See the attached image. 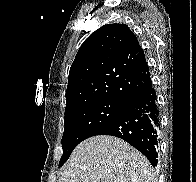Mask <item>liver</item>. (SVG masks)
<instances>
[{"mask_svg": "<svg viewBox=\"0 0 196 182\" xmlns=\"http://www.w3.org/2000/svg\"><path fill=\"white\" fill-rule=\"evenodd\" d=\"M58 182H157L147 158L122 139L94 136L72 152Z\"/></svg>", "mask_w": 196, "mask_h": 182, "instance_id": "liver-1", "label": "liver"}]
</instances>
